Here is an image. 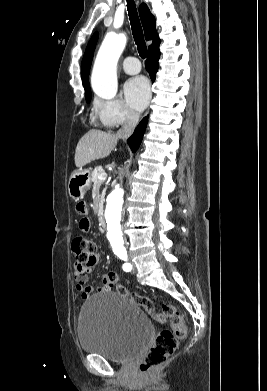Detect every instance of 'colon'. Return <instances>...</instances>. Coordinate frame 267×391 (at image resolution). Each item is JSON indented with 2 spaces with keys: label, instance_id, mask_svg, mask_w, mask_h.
Here are the masks:
<instances>
[{
  "label": "colon",
  "instance_id": "obj_1",
  "mask_svg": "<svg viewBox=\"0 0 267 391\" xmlns=\"http://www.w3.org/2000/svg\"><path fill=\"white\" fill-rule=\"evenodd\" d=\"M71 249L77 265L90 266L96 263L97 245L92 238L83 235L75 236L72 240ZM106 282L110 287H116L119 294L142 307L158 322H168L170 324V330L164 329L157 334L152 347L140 363L141 373L148 375L168 360L177 349L179 341L186 336L187 327L184 318L172 304H163L160 309H157L156 304L148 297L132 293L119 286L118 276L114 272H109L106 275Z\"/></svg>",
  "mask_w": 267,
  "mask_h": 391
}]
</instances>
